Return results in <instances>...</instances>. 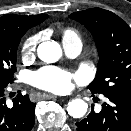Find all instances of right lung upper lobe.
Instances as JSON below:
<instances>
[{
	"label": "right lung upper lobe",
	"mask_w": 131,
	"mask_h": 131,
	"mask_svg": "<svg viewBox=\"0 0 131 131\" xmlns=\"http://www.w3.org/2000/svg\"><path fill=\"white\" fill-rule=\"evenodd\" d=\"M48 15H6L0 17V33L19 34L43 22Z\"/></svg>",
	"instance_id": "cb5924a9"
}]
</instances>
